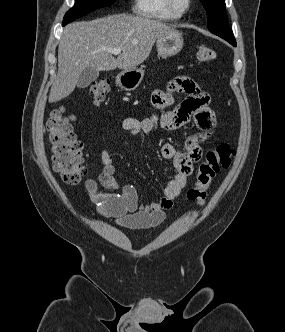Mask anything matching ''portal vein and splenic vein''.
<instances>
[{
    "instance_id": "obj_1",
    "label": "portal vein and splenic vein",
    "mask_w": 285,
    "mask_h": 332,
    "mask_svg": "<svg viewBox=\"0 0 285 332\" xmlns=\"http://www.w3.org/2000/svg\"><path fill=\"white\" fill-rule=\"evenodd\" d=\"M104 50L112 53L113 55H119L122 51V48H105Z\"/></svg>"
}]
</instances>
